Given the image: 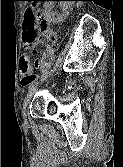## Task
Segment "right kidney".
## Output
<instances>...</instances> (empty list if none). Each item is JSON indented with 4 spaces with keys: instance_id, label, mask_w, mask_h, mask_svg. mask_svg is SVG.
I'll list each match as a JSON object with an SVG mask.
<instances>
[{
    "instance_id": "ca27d5eb",
    "label": "right kidney",
    "mask_w": 123,
    "mask_h": 167,
    "mask_svg": "<svg viewBox=\"0 0 123 167\" xmlns=\"http://www.w3.org/2000/svg\"><path fill=\"white\" fill-rule=\"evenodd\" d=\"M54 1H48L47 5L45 7V15L50 18L52 21L55 22H61L63 21L69 14V11L72 9V6L74 4V2L71 1H60L59 2V6L60 8H62L63 13L62 15H55L54 13H52V9L54 8Z\"/></svg>"
}]
</instances>
